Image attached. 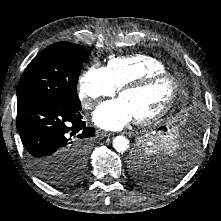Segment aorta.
I'll return each instance as SVG.
<instances>
[{
  "label": "aorta",
  "mask_w": 221,
  "mask_h": 221,
  "mask_svg": "<svg viewBox=\"0 0 221 221\" xmlns=\"http://www.w3.org/2000/svg\"><path fill=\"white\" fill-rule=\"evenodd\" d=\"M129 146V140L124 136H116L113 139V147L119 153L127 151Z\"/></svg>",
  "instance_id": "1"
}]
</instances>
